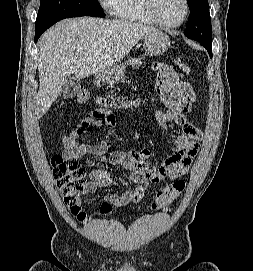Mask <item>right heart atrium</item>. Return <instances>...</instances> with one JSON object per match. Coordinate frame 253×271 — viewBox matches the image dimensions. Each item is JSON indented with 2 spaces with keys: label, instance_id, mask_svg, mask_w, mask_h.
<instances>
[{
  "label": "right heart atrium",
  "instance_id": "1",
  "mask_svg": "<svg viewBox=\"0 0 253 271\" xmlns=\"http://www.w3.org/2000/svg\"><path fill=\"white\" fill-rule=\"evenodd\" d=\"M118 0H99L104 9L108 11H113L116 6Z\"/></svg>",
  "mask_w": 253,
  "mask_h": 271
}]
</instances>
